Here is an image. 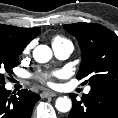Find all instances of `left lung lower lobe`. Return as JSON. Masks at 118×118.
Returning a JSON list of instances; mask_svg holds the SVG:
<instances>
[{"label":"left lung lower lobe","instance_id":"left-lung-lower-lobe-1","mask_svg":"<svg viewBox=\"0 0 118 118\" xmlns=\"http://www.w3.org/2000/svg\"><path fill=\"white\" fill-rule=\"evenodd\" d=\"M73 106L68 118H118V91L91 89L80 101L70 94Z\"/></svg>","mask_w":118,"mask_h":118}]
</instances>
